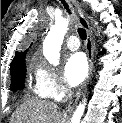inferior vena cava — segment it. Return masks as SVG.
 <instances>
[{
    "instance_id": "obj_1",
    "label": "inferior vena cava",
    "mask_w": 122,
    "mask_h": 123,
    "mask_svg": "<svg viewBox=\"0 0 122 123\" xmlns=\"http://www.w3.org/2000/svg\"><path fill=\"white\" fill-rule=\"evenodd\" d=\"M66 93H67V96H66V100L65 101H67V99L72 96V90H71V88L69 86H67V88H66Z\"/></svg>"
}]
</instances>
